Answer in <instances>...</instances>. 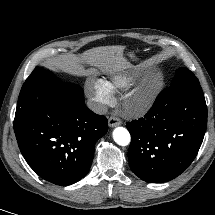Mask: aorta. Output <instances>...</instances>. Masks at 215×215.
I'll use <instances>...</instances> for the list:
<instances>
[{
  "instance_id": "aorta-1",
  "label": "aorta",
  "mask_w": 215,
  "mask_h": 215,
  "mask_svg": "<svg viewBox=\"0 0 215 215\" xmlns=\"http://www.w3.org/2000/svg\"><path fill=\"white\" fill-rule=\"evenodd\" d=\"M114 141L121 146H127L130 143L131 137L128 130L124 127H117L113 131Z\"/></svg>"
}]
</instances>
